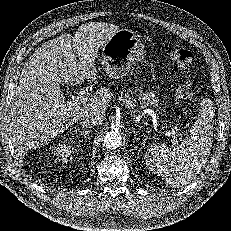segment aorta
I'll return each mask as SVG.
<instances>
[{
	"label": "aorta",
	"instance_id": "aorta-1",
	"mask_svg": "<svg viewBox=\"0 0 231 231\" xmlns=\"http://www.w3.org/2000/svg\"><path fill=\"white\" fill-rule=\"evenodd\" d=\"M103 144L109 150L117 149L122 144V136L119 132L110 131L104 136Z\"/></svg>",
	"mask_w": 231,
	"mask_h": 231
}]
</instances>
